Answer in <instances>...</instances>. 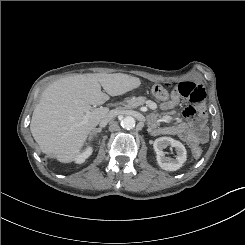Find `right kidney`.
I'll return each mask as SVG.
<instances>
[{
    "mask_svg": "<svg viewBox=\"0 0 245 245\" xmlns=\"http://www.w3.org/2000/svg\"><path fill=\"white\" fill-rule=\"evenodd\" d=\"M92 154V148L88 146L80 155L75 159L77 163H83Z\"/></svg>",
    "mask_w": 245,
    "mask_h": 245,
    "instance_id": "1",
    "label": "right kidney"
}]
</instances>
